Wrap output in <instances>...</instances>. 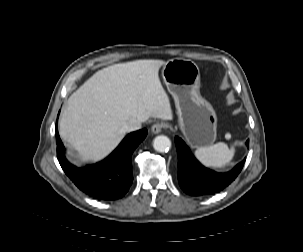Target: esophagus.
I'll use <instances>...</instances> for the list:
<instances>
[{
  "mask_svg": "<svg viewBox=\"0 0 303 252\" xmlns=\"http://www.w3.org/2000/svg\"><path fill=\"white\" fill-rule=\"evenodd\" d=\"M165 127V125H163L162 123H155L152 127H151V131L154 134H158L160 133L163 128Z\"/></svg>",
  "mask_w": 303,
  "mask_h": 252,
  "instance_id": "1",
  "label": "esophagus"
}]
</instances>
